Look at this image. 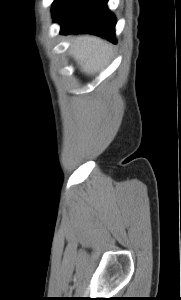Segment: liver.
I'll return each instance as SVG.
<instances>
[{
  "label": "liver",
  "instance_id": "6515ba94",
  "mask_svg": "<svg viewBox=\"0 0 181 300\" xmlns=\"http://www.w3.org/2000/svg\"><path fill=\"white\" fill-rule=\"evenodd\" d=\"M74 58L87 74L100 71L109 62L113 51L106 41L89 35L75 37L72 47Z\"/></svg>",
  "mask_w": 181,
  "mask_h": 300
}]
</instances>
